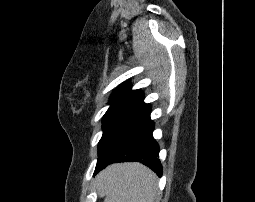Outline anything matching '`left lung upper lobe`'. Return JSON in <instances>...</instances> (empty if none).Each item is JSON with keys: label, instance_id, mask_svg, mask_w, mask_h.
Masks as SVG:
<instances>
[{"label": "left lung upper lobe", "instance_id": "obj_1", "mask_svg": "<svg viewBox=\"0 0 255 202\" xmlns=\"http://www.w3.org/2000/svg\"><path fill=\"white\" fill-rule=\"evenodd\" d=\"M143 100V92L131 90L130 83L115 89L102 120L103 135L98 145V161L110 160L117 155L126 141L150 117V105Z\"/></svg>", "mask_w": 255, "mask_h": 202}]
</instances>
